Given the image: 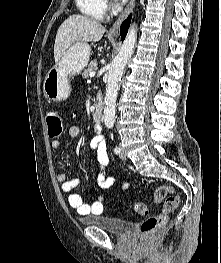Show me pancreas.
I'll list each match as a JSON object with an SVG mask.
<instances>
[{"label": "pancreas", "instance_id": "1", "mask_svg": "<svg viewBox=\"0 0 221 263\" xmlns=\"http://www.w3.org/2000/svg\"><path fill=\"white\" fill-rule=\"evenodd\" d=\"M97 68V61H91L90 64L88 65L87 69H85L82 73L83 78H88L90 73L94 72Z\"/></svg>", "mask_w": 221, "mask_h": 263}]
</instances>
